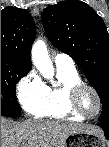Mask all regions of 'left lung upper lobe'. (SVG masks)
<instances>
[{
	"label": "left lung upper lobe",
	"mask_w": 109,
	"mask_h": 147,
	"mask_svg": "<svg viewBox=\"0 0 109 147\" xmlns=\"http://www.w3.org/2000/svg\"><path fill=\"white\" fill-rule=\"evenodd\" d=\"M47 37L71 56L102 100L99 122L109 123V33L102 18L86 3L61 1L42 13Z\"/></svg>",
	"instance_id": "obj_1"
}]
</instances>
